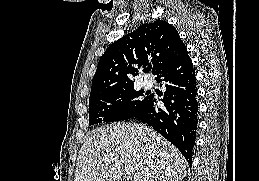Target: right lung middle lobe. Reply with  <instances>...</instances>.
I'll return each mask as SVG.
<instances>
[{
	"mask_svg": "<svg viewBox=\"0 0 259 181\" xmlns=\"http://www.w3.org/2000/svg\"><path fill=\"white\" fill-rule=\"evenodd\" d=\"M143 90L118 88L89 98V125L132 118L148 101Z\"/></svg>",
	"mask_w": 259,
	"mask_h": 181,
	"instance_id": "dd1d6c3e",
	"label": "right lung middle lobe"
}]
</instances>
